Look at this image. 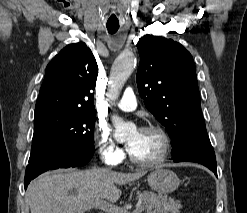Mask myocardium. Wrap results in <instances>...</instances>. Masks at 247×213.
<instances>
[{
    "mask_svg": "<svg viewBox=\"0 0 247 213\" xmlns=\"http://www.w3.org/2000/svg\"><path fill=\"white\" fill-rule=\"evenodd\" d=\"M141 131L155 132L161 137V140H162L161 153L155 160L141 161V160L135 158L131 154V152L128 151L129 160L133 164L140 166V167L151 168V167H157V166L161 165L162 163H164L167 160V158L170 154V151H171L172 144H171V138H170L169 134L167 133V131L164 128H162L161 126H158V125L144 126L141 128Z\"/></svg>",
    "mask_w": 247,
    "mask_h": 213,
    "instance_id": "1",
    "label": "myocardium"
}]
</instances>
